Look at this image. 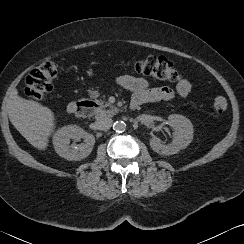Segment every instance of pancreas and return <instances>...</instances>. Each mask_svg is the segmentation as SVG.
Segmentation results:
<instances>
[{
	"label": "pancreas",
	"mask_w": 244,
	"mask_h": 244,
	"mask_svg": "<svg viewBox=\"0 0 244 244\" xmlns=\"http://www.w3.org/2000/svg\"><path fill=\"white\" fill-rule=\"evenodd\" d=\"M106 106H101L99 109H98V113L96 114V116L98 118L100 117H104V116H110L112 114V112L115 110V107L110 105V110H107L105 108Z\"/></svg>",
	"instance_id": "obj_1"
}]
</instances>
